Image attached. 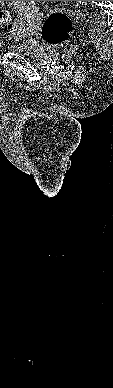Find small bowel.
Masks as SVG:
<instances>
[{
	"mask_svg": "<svg viewBox=\"0 0 113 388\" xmlns=\"http://www.w3.org/2000/svg\"><path fill=\"white\" fill-rule=\"evenodd\" d=\"M25 3L26 5H22L20 3ZM0 5H8L13 10L19 11V14L17 16V20H20L22 22H25L31 18V16L38 15L40 17V13L37 10H31L30 5L27 1H0ZM16 24V22H15ZM13 30H16L15 27Z\"/></svg>",
	"mask_w": 113,
	"mask_h": 388,
	"instance_id": "c3829d8e",
	"label": "small bowel"
}]
</instances>
